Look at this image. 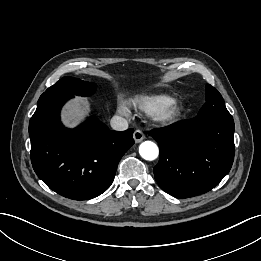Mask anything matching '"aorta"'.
Instances as JSON below:
<instances>
[{"mask_svg":"<svg viewBox=\"0 0 261 261\" xmlns=\"http://www.w3.org/2000/svg\"><path fill=\"white\" fill-rule=\"evenodd\" d=\"M139 153L145 160H155L158 157L159 149L152 141H145L139 146Z\"/></svg>","mask_w":261,"mask_h":261,"instance_id":"aorta-1","label":"aorta"}]
</instances>
